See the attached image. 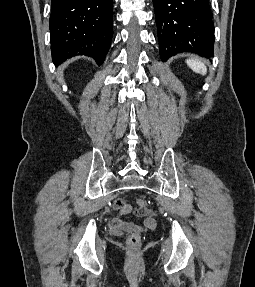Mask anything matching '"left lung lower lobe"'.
<instances>
[{
    "instance_id": "obj_1",
    "label": "left lung lower lobe",
    "mask_w": 255,
    "mask_h": 287,
    "mask_svg": "<svg viewBox=\"0 0 255 287\" xmlns=\"http://www.w3.org/2000/svg\"><path fill=\"white\" fill-rule=\"evenodd\" d=\"M152 1L162 61L180 52L213 57L214 24L209 0Z\"/></svg>"
}]
</instances>
